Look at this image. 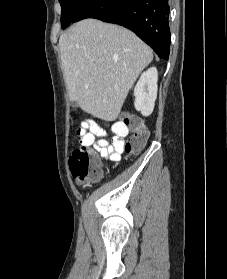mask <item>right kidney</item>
I'll return each instance as SVG.
<instances>
[{"label":"right kidney","mask_w":227,"mask_h":279,"mask_svg":"<svg viewBox=\"0 0 227 279\" xmlns=\"http://www.w3.org/2000/svg\"><path fill=\"white\" fill-rule=\"evenodd\" d=\"M158 72L155 67L143 72L134 88V106L143 116H149L157 98Z\"/></svg>","instance_id":"ca27d5eb"}]
</instances>
